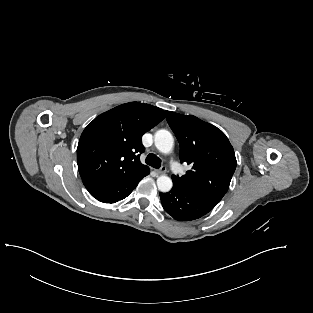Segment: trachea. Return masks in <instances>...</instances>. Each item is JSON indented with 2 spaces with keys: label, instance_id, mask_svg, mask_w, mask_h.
Returning <instances> with one entry per match:
<instances>
[{
  "label": "trachea",
  "instance_id": "3493384b",
  "mask_svg": "<svg viewBox=\"0 0 313 313\" xmlns=\"http://www.w3.org/2000/svg\"><path fill=\"white\" fill-rule=\"evenodd\" d=\"M146 163L154 168H160L161 166V160L159 157H157L155 154H149L146 157Z\"/></svg>",
  "mask_w": 313,
  "mask_h": 313
}]
</instances>
